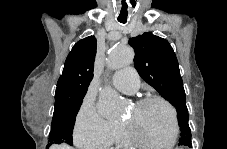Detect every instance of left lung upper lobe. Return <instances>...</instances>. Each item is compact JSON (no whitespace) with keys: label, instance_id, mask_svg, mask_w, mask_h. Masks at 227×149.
<instances>
[{"label":"left lung upper lobe","instance_id":"1","mask_svg":"<svg viewBox=\"0 0 227 149\" xmlns=\"http://www.w3.org/2000/svg\"><path fill=\"white\" fill-rule=\"evenodd\" d=\"M129 44L135 50L134 64L141 78L177 110L179 145L191 146L186 96L173 48L166 39L150 32L130 38Z\"/></svg>","mask_w":227,"mask_h":149}]
</instances>
